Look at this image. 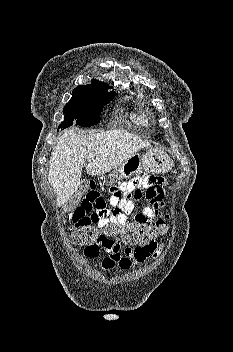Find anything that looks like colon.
Instances as JSON below:
<instances>
[{"label": "colon", "mask_w": 233, "mask_h": 352, "mask_svg": "<svg viewBox=\"0 0 233 352\" xmlns=\"http://www.w3.org/2000/svg\"><path fill=\"white\" fill-rule=\"evenodd\" d=\"M168 228V217L156 220L150 225H127L118 227L111 225L105 230L94 222H86L75 229L72 241L81 246H94L111 238H119L128 246L147 245L154 239L165 235Z\"/></svg>", "instance_id": "1"}]
</instances>
